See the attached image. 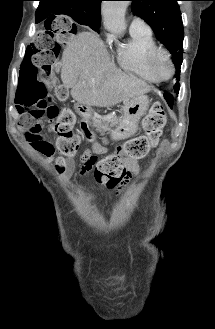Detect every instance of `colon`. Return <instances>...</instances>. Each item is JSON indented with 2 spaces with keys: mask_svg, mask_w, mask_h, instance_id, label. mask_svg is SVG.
Returning <instances> with one entry per match:
<instances>
[{
  "mask_svg": "<svg viewBox=\"0 0 215 329\" xmlns=\"http://www.w3.org/2000/svg\"><path fill=\"white\" fill-rule=\"evenodd\" d=\"M68 14H49L44 25H35L31 36L35 38L29 45L26 55H18L20 80L16 82L19 91L18 109L22 119L32 122V127L22 128L36 136L35 147L43 153H51L53 145L40 136L41 125L34 122L41 118L53 121V130L57 135V156L54 167L63 173L68 160L73 158L80 145V137L73 131L74 114L71 109H59L49 93L54 81H61V74H54V64L62 49V45L75 38V32H81V25H73ZM166 123V113L160 103L151 106L144 118L142 127L144 134L135 137L119 146L116 152L103 158L88 156L83 158V172L92 171L97 183L105 186L117 185L125 176L123 167L125 159H141L154 147L162 137V129Z\"/></svg>",
  "mask_w": 215,
  "mask_h": 329,
  "instance_id": "5ec220e1",
  "label": "colon"
}]
</instances>
